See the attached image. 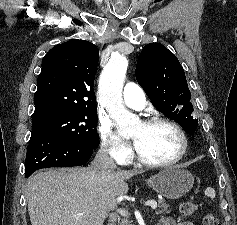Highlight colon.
<instances>
[{
	"instance_id": "obj_1",
	"label": "colon",
	"mask_w": 237,
	"mask_h": 225,
	"mask_svg": "<svg viewBox=\"0 0 237 225\" xmlns=\"http://www.w3.org/2000/svg\"><path fill=\"white\" fill-rule=\"evenodd\" d=\"M197 210V205L192 201H185L180 206V212L183 217H191ZM202 225H219L217 219L212 215H207Z\"/></svg>"
}]
</instances>
